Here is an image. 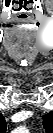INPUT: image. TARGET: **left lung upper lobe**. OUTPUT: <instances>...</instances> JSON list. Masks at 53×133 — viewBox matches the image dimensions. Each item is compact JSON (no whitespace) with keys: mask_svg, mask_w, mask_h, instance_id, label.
Listing matches in <instances>:
<instances>
[{"mask_svg":"<svg viewBox=\"0 0 53 133\" xmlns=\"http://www.w3.org/2000/svg\"><path fill=\"white\" fill-rule=\"evenodd\" d=\"M43 119H44V127L48 131V126H49L48 120H49V116L48 115H45V116H43Z\"/></svg>","mask_w":53,"mask_h":133,"instance_id":"obj_1","label":"left lung upper lobe"}]
</instances>
